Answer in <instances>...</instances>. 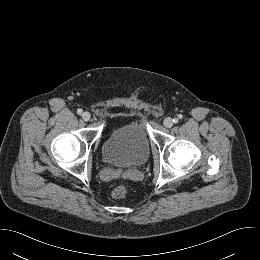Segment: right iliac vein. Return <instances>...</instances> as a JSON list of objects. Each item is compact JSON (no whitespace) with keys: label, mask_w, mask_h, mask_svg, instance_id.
<instances>
[{"label":"right iliac vein","mask_w":260,"mask_h":260,"mask_svg":"<svg viewBox=\"0 0 260 260\" xmlns=\"http://www.w3.org/2000/svg\"><path fill=\"white\" fill-rule=\"evenodd\" d=\"M82 118H83L84 121H88V120H90V118H91V114L86 111V112H84V113L82 114Z\"/></svg>","instance_id":"1"}]
</instances>
